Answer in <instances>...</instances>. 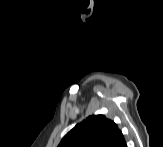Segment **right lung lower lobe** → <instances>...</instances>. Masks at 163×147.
<instances>
[{
    "instance_id": "right-lung-lower-lobe-1",
    "label": "right lung lower lobe",
    "mask_w": 163,
    "mask_h": 147,
    "mask_svg": "<svg viewBox=\"0 0 163 147\" xmlns=\"http://www.w3.org/2000/svg\"><path fill=\"white\" fill-rule=\"evenodd\" d=\"M115 147H127L124 138H123L120 142H118V143L115 145Z\"/></svg>"
}]
</instances>
